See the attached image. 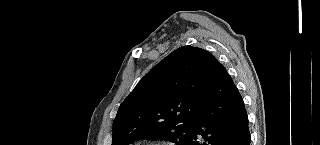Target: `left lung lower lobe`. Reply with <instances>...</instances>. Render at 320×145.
Listing matches in <instances>:
<instances>
[{"mask_svg": "<svg viewBox=\"0 0 320 145\" xmlns=\"http://www.w3.org/2000/svg\"><path fill=\"white\" fill-rule=\"evenodd\" d=\"M204 107L187 145H249L248 118L242 97L220 63L205 83Z\"/></svg>", "mask_w": 320, "mask_h": 145, "instance_id": "obj_1", "label": "left lung lower lobe"}]
</instances>
